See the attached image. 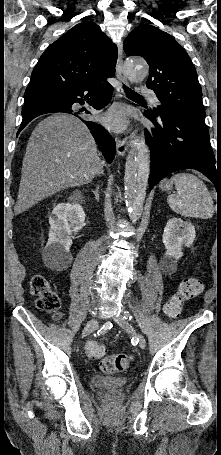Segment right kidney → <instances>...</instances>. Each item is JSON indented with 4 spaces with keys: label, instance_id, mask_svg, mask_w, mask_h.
Returning <instances> with one entry per match:
<instances>
[{
    "label": "right kidney",
    "instance_id": "ca27d5eb",
    "mask_svg": "<svg viewBox=\"0 0 221 455\" xmlns=\"http://www.w3.org/2000/svg\"><path fill=\"white\" fill-rule=\"evenodd\" d=\"M85 212L79 203H60L49 217L50 232L43 250L45 263L55 268L67 265L72 257V235L85 225Z\"/></svg>",
    "mask_w": 221,
    "mask_h": 455
}]
</instances>
